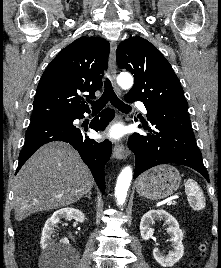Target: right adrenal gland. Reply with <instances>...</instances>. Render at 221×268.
<instances>
[{"label": "right adrenal gland", "instance_id": "1", "mask_svg": "<svg viewBox=\"0 0 221 268\" xmlns=\"http://www.w3.org/2000/svg\"><path fill=\"white\" fill-rule=\"evenodd\" d=\"M91 194H92V193H91V191H89V192H88V194H87V195H85V197H87L88 199H90V200H91Z\"/></svg>", "mask_w": 221, "mask_h": 268}]
</instances>
